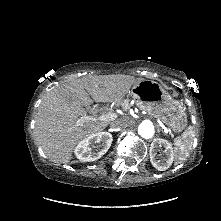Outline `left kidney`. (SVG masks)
<instances>
[{
	"mask_svg": "<svg viewBox=\"0 0 221 221\" xmlns=\"http://www.w3.org/2000/svg\"><path fill=\"white\" fill-rule=\"evenodd\" d=\"M164 147L165 158L163 160H157L155 158L157 148ZM150 161L152 165L159 171L167 170L173 163L174 153L172 145L165 139L156 138L153 140L150 146Z\"/></svg>",
	"mask_w": 221,
	"mask_h": 221,
	"instance_id": "1",
	"label": "left kidney"
}]
</instances>
